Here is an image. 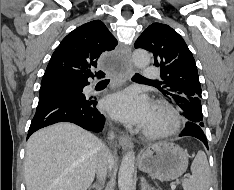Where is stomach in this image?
Returning <instances> with one entry per match:
<instances>
[{"label":"stomach","instance_id":"1","mask_svg":"<svg viewBox=\"0 0 234 190\" xmlns=\"http://www.w3.org/2000/svg\"><path fill=\"white\" fill-rule=\"evenodd\" d=\"M138 164L141 171L161 181H171L186 171L188 156L179 145L165 141L146 148Z\"/></svg>","mask_w":234,"mask_h":190}]
</instances>
